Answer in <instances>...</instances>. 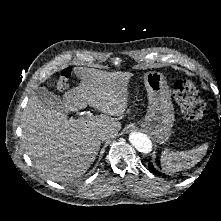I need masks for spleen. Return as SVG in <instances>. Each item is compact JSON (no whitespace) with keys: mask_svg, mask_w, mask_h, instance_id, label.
Returning a JSON list of instances; mask_svg holds the SVG:
<instances>
[{"mask_svg":"<svg viewBox=\"0 0 221 221\" xmlns=\"http://www.w3.org/2000/svg\"><path fill=\"white\" fill-rule=\"evenodd\" d=\"M208 144L205 143L188 151L169 152L164 150L161 155V166L165 173L172 174L195 166L206 154Z\"/></svg>","mask_w":221,"mask_h":221,"instance_id":"obj_1","label":"spleen"}]
</instances>
